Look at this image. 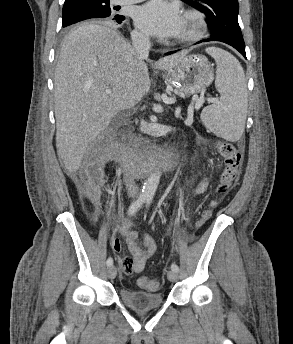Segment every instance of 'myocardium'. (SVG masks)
<instances>
[{
	"label": "myocardium",
	"mask_w": 293,
	"mask_h": 344,
	"mask_svg": "<svg viewBox=\"0 0 293 344\" xmlns=\"http://www.w3.org/2000/svg\"><path fill=\"white\" fill-rule=\"evenodd\" d=\"M184 20L189 23L190 30L187 34L176 39V44H188L202 39L207 30L204 15L195 10H188L184 14Z\"/></svg>",
	"instance_id": "obj_1"
}]
</instances>
